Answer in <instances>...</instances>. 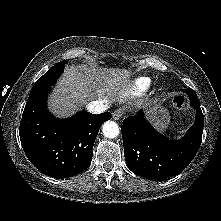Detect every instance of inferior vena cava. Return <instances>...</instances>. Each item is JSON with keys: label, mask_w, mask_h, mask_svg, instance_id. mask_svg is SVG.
I'll use <instances>...</instances> for the list:
<instances>
[{"label": "inferior vena cava", "mask_w": 221, "mask_h": 221, "mask_svg": "<svg viewBox=\"0 0 221 221\" xmlns=\"http://www.w3.org/2000/svg\"><path fill=\"white\" fill-rule=\"evenodd\" d=\"M110 107V103L108 101H92L88 103L86 106L87 110L93 114H100L105 112Z\"/></svg>", "instance_id": "1"}]
</instances>
